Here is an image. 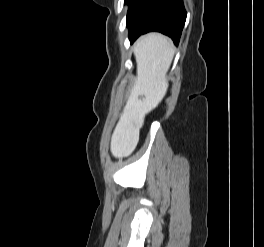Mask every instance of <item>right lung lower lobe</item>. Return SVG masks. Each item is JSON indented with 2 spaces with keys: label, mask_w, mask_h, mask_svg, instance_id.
<instances>
[{
  "label": "right lung lower lobe",
  "mask_w": 264,
  "mask_h": 247,
  "mask_svg": "<svg viewBox=\"0 0 264 247\" xmlns=\"http://www.w3.org/2000/svg\"><path fill=\"white\" fill-rule=\"evenodd\" d=\"M186 20L183 0H131L127 13L129 38L161 32L178 44Z\"/></svg>",
  "instance_id": "right-lung-lower-lobe-1"
}]
</instances>
